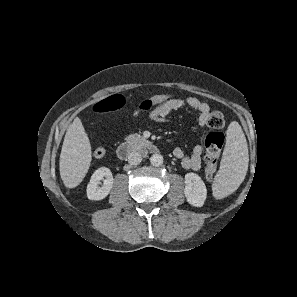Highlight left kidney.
Returning <instances> with one entry per match:
<instances>
[{
	"label": "left kidney",
	"instance_id": "left-kidney-1",
	"mask_svg": "<svg viewBox=\"0 0 297 297\" xmlns=\"http://www.w3.org/2000/svg\"><path fill=\"white\" fill-rule=\"evenodd\" d=\"M184 193L189 204L195 207L203 206L207 197V189L198 174L191 172L185 175Z\"/></svg>",
	"mask_w": 297,
	"mask_h": 297
}]
</instances>
